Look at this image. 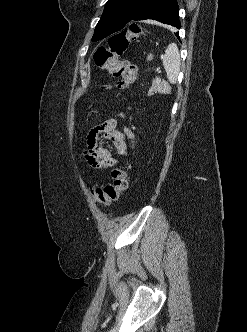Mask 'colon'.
Listing matches in <instances>:
<instances>
[{
	"instance_id": "colon-1",
	"label": "colon",
	"mask_w": 247,
	"mask_h": 332,
	"mask_svg": "<svg viewBox=\"0 0 247 332\" xmlns=\"http://www.w3.org/2000/svg\"><path fill=\"white\" fill-rule=\"evenodd\" d=\"M142 34L138 25L131 24L127 29L112 36L108 45L99 47L94 54L95 63L99 68L107 70L112 76L120 79L117 83L120 89L127 88L137 79L136 67L128 61L121 60L120 56L127 50L130 41ZM145 60L149 62L151 56L146 54ZM146 72H149V68ZM111 177L112 183L91 189L92 197L96 202L104 205L111 204L117 201L127 189V173L123 167H115L111 171Z\"/></svg>"
}]
</instances>
